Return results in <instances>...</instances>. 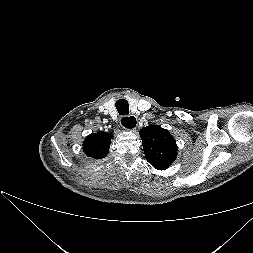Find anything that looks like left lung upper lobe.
<instances>
[{
	"label": "left lung upper lobe",
	"instance_id": "5c2ea615",
	"mask_svg": "<svg viewBox=\"0 0 253 253\" xmlns=\"http://www.w3.org/2000/svg\"><path fill=\"white\" fill-rule=\"evenodd\" d=\"M140 136L147 161L158 170L167 169L177 155L176 141L170 132L153 125L142 128Z\"/></svg>",
	"mask_w": 253,
	"mask_h": 253
}]
</instances>
